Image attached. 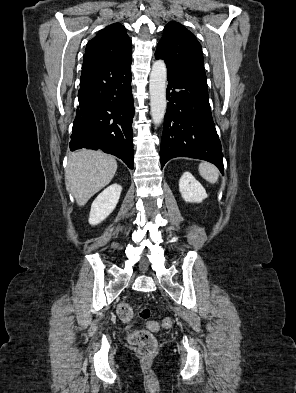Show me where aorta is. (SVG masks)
I'll use <instances>...</instances> for the list:
<instances>
[{
  "label": "aorta",
  "instance_id": "1",
  "mask_svg": "<svg viewBox=\"0 0 296 393\" xmlns=\"http://www.w3.org/2000/svg\"><path fill=\"white\" fill-rule=\"evenodd\" d=\"M166 80L167 69L163 60H157L152 65L149 79L150 106L153 123H162L166 112Z\"/></svg>",
  "mask_w": 296,
  "mask_h": 393
}]
</instances>
